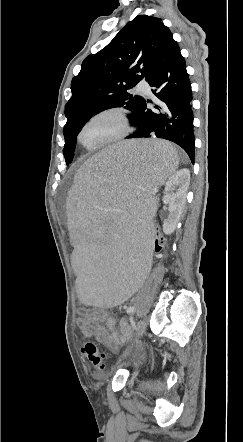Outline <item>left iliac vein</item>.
I'll list each match as a JSON object with an SVG mask.
<instances>
[{
  "mask_svg": "<svg viewBox=\"0 0 243 442\" xmlns=\"http://www.w3.org/2000/svg\"><path fill=\"white\" fill-rule=\"evenodd\" d=\"M145 329H146V321H145V319H140L139 322H138V327H137V330L135 332V336H134V338L132 340V343L126 349V351L123 353L121 358L126 357L133 348H135V349H140L141 348V346H142L141 338H142V336H143V334L145 332Z\"/></svg>",
  "mask_w": 243,
  "mask_h": 442,
  "instance_id": "left-iliac-vein-1",
  "label": "left iliac vein"
}]
</instances>
